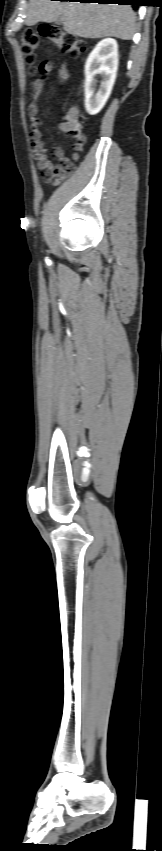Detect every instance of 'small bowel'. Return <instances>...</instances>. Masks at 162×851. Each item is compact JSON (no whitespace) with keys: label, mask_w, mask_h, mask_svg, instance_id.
I'll use <instances>...</instances> for the list:
<instances>
[{"label":"small bowel","mask_w":162,"mask_h":851,"mask_svg":"<svg viewBox=\"0 0 162 851\" xmlns=\"http://www.w3.org/2000/svg\"><path fill=\"white\" fill-rule=\"evenodd\" d=\"M51 73H57L62 79H67L69 75V67L65 63H62L60 65H55L52 62L42 63L39 66V77L33 83L31 102L29 104V115L31 120V141L33 147L32 154L36 161L37 169L43 172L44 177L48 181H52L53 174L62 166L70 165L72 168V163L70 159L66 158L64 151L57 146L52 147L51 152L58 160L62 162L63 165L55 166L51 162V160L47 156L45 144L42 140V135L39 128V100L46 86L47 76ZM60 129L63 131L62 124L60 125Z\"/></svg>","instance_id":"obj_1"}]
</instances>
